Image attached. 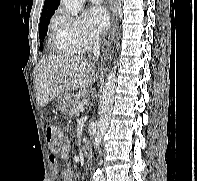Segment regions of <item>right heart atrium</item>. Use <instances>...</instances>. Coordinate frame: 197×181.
Returning <instances> with one entry per match:
<instances>
[{"label": "right heart atrium", "instance_id": "right-heart-atrium-1", "mask_svg": "<svg viewBox=\"0 0 197 181\" xmlns=\"http://www.w3.org/2000/svg\"><path fill=\"white\" fill-rule=\"evenodd\" d=\"M57 20L77 52H88L98 43V36L89 29L81 18L60 12Z\"/></svg>", "mask_w": 197, "mask_h": 181}]
</instances>
